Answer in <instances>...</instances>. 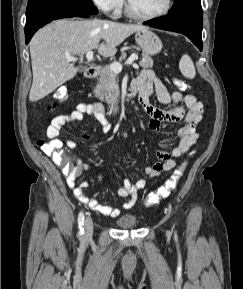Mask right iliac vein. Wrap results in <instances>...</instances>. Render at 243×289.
<instances>
[{"mask_svg":"<svg viewBox=\"0 0 243 289\" xmlns=\"http://www.w3.org/2000/svg\"><path fill=\"white\" fill-rule=\"evenodd\" d=\"M84 228H85V231H84L83 239L89 240L93 234V221H92L91 217L88 216L85 219Z\"/></svg>","mask_w":243,"mask_h":289,"instance_id":"right-iliac-vein-1","label":"right iliac vein"}]
</instances>
